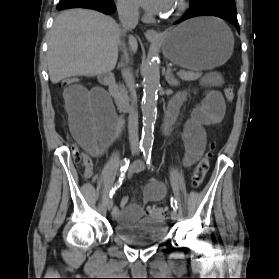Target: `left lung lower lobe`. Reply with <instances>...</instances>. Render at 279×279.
<instances>
[{
	"label": "left lung lower lobe",
	"instance_id": "1",
	"mask_svg": "<svg viewBox=\"0 0 279 279\" xmlns=\"http://www.w3.org/2000/svg\"><path fill=\"white\" fill-rule=\"evenodd\" d=\"M190 9L175 24L196 16H217L233 24L240 33L234 0H189Z\"/></svg>",
	"mask_w": 279,
	"mask_h": 279
}]
</instances>
